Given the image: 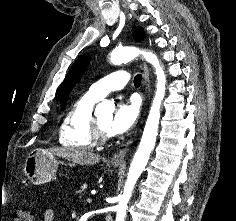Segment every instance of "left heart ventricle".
<instances>
[{
	"label": "left heart ventricle",
	"mask_w": 236,
	"mask_h": 221,
	"mask_svg": "<svg viewBox=\"0 0 236 221\" xmlns=\"http://www.w3.org/2000/svg\"><path fill=\"white\" fill-rule=\"evenodd\" d=\"M97 119H98V122H99L101 128L104 131L108 132L107 128H108L109 121L111 119V115L101 114V115L97 116Z\"/></svg>",
	"instance_id": "obj_1"
}]
</instances>
